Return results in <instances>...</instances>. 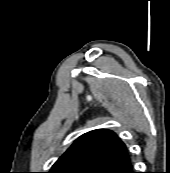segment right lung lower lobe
Segmentation results:
<instances>
[{
  "instance_id": "obj_1",
  "label": "right lung lower lobe",
  "mask_w": 170,
  "mask_h": 173,
  "mask_svg": "<svg viewBox=\"0 0 170 173\" xmlns=\"http://www.w3.org/2000/svg\"><path fill=\"white\" fill-rule=\"evenodd\" d=\"M104 173H136V172L133 170L131 160L129 159L121 164H118L108 169Z\"/></svg>"
}]
</instances>
